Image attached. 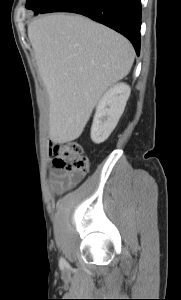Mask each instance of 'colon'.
Wrapping results in <instances>:
<instances>
[{"mask_svg":"<svg viewBox=\"0 0 181 300\" xmlns=\"http://www.w3.org/2000/svg\"><path fill=\"white\" fill-rule=\"evenodd\" d=\"M50 154L55 167L67 171L72 177H81L88 171V157L78 142H56L51 146Z\"/></svg>","mask_w":181,"mask_h":300,"instance_id":"1","label":"colon"}]
</instances>
